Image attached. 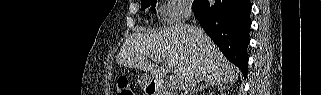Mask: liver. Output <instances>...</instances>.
Returning a JSON list of instances; mask_svg holds the SVG:
<instances>
[{
    "label": "liver",
    "mask_w": 321,
    "mask_h": 95,
    "mask_svg": "<svg viewBox=\"0 0 321 95\" xmlns=\"http://www.w3.org/2000/svg\"><path fill=\"white\" fill-rule=\"evenodd\" d=\"M117 63L149 72L156 80L166 75V69L157 63H170L180 90L196 76L220 84L235 83L239 78V70L204 31L188 24H175L153 34L130 35L117 55Z\"/></svg>",
    "instance_id": "obj_1"
}]
</instances>
